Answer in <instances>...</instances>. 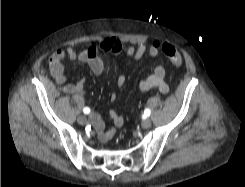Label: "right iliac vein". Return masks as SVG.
<instances>
[{"label": "right iliac vein", "mask_w": 245, "mask_h": 187, "mask_svg": "<svg viewBox=\"0 0 245 187\" xmlns=\"http://www.w3.org/2000/svg\"><path fill=\"white\" fill-rule=\"evenodd\" d=\"M77 121L79 124L83 125L86 123V117L85 116H79Z\"/></svg>", "instance_id": "63e3f726"}]
</instances>
